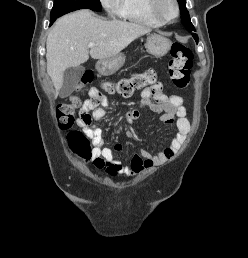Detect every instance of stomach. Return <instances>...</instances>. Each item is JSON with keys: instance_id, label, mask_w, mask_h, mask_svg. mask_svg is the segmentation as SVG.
I'll list each match as a JSON object with an SVG mask.
<instances>
[{"instance_id": "obj_1", "label": "stomach", "mask_w": 248, "mask_h": 258, "mask_svg": "<svg viewBox=\"0 0 248 258\" xmlns=\"http://www.w3.org/2000/svg\"><path fill=\"white\" fill-rule=\"evenodd\" d=\"M171 41L161 35H150L146 40L147 52L155 57H162L168 53L171 48ZM125 63V55H117L105 59H100L96 64L97 71L102 75H112L118 71Z\"/></svg>"}]
</instances>
